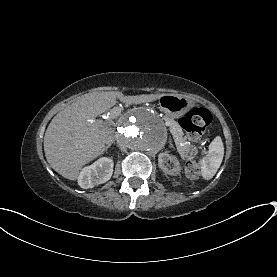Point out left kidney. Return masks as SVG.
Returning <instances> with one entry per match:
<instances>
[{"label":"left kidney","mask_w":277,"mask_h":277,"mask_svg":"<svg viewBox=\"0 0 277 277\" xmlns=\"http://www.w3.org/2000/svg\"><path fill=\"white\" fill-rule=\"evenodd\" d=\"M166 160L172 161L174 163V168L168 169L165 165ZM158 165L162 169V171L167 175L176 176L180 173L181 170L180 163L177 160V158L168 153H160L158 155Z\"/></svg>","instance_id":"1"}]
</instances>
